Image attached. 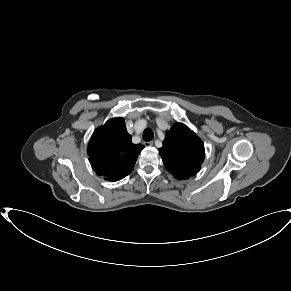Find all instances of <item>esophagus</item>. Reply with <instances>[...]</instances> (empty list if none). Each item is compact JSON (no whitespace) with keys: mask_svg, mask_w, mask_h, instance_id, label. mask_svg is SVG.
Returning <instances> with one entry per match:
<instances>
[{"mask_svg":"<svg viewBox=\"0 0 291 291\" xmlns=\"http://www.w3.org/2000/svg\"><path fill=\"white\" fill-rule=\"evenodd\" d=\"M144 145L146 147L152 146L153 145V141H146V142H144Z\"/></svg>","mask_w":291,"mask_h":291,"instance_id":"1","label":"esophagus"}]
</instances>
